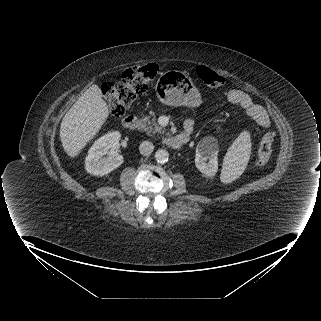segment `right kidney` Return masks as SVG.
Listing matches in <instances>:
<instances>
[{"mask_svg":"<svg viewBox=\"0 0 321 321\" xmlns=\"http://www.w3.org/2000/svg\"><path fill=\"white\" fill-rule=\"evenodd\" d=\"M120 137L118 131H112L94 142L85 160L88 173L103 176L123 163V156L113 149ZM106 154L107 156H104Z\"/></svg>","mask_w":321,"mask_h":321,"instance_id":"right-kidney-1","label":"right kidney"}]
</instances>
